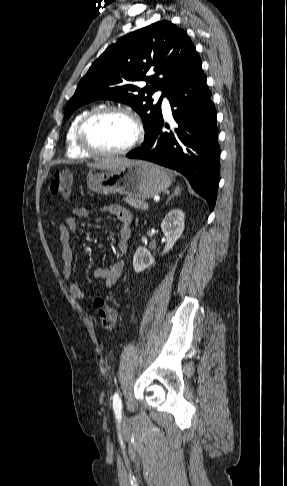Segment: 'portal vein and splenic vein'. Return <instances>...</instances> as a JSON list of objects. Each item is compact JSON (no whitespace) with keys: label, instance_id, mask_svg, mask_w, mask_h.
<instances>
[{"label":"portal vein and splenic vein","instance_id":"1","mask_svg":"<svg viewBox=\"0 0 287 486\" xmlns=\"http://www.w3.org/2000/svg\"><path fill=\"white\" fill-rule=\"evenodd\" d=\"M148 208H149L148 203H145V204L143 205V210L147 211V210H148Z\"/></svg>","mask_w":287,"mask_h":486}]
</instances>
